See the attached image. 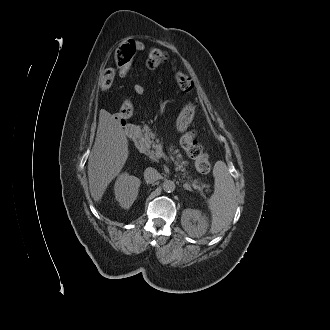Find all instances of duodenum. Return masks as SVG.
<instances>
[{
	"instance_id": "duodenum-1",
	"label": "duodenum",
	"mask_w": 330,
	"mask_h": 330,
	"mask_svg": "<svg viewBox=\"0 0 330 330\" xmlns=\"http://www.w3.org/2000/svg\"><path fill=\"white\" fill-rule=\"evenodd\" d=\"M125 134L128 139L135 140L139 135V129L132 124L126 125Z\"/></svg>"
}]
</instances>
